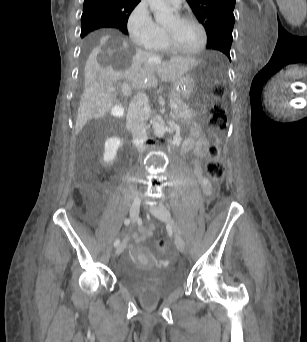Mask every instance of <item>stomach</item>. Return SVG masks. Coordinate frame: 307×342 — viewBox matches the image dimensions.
Segmentation results:
<instances>
[{"label": "stomach", "mask_w": 307, "mask_h": 342, "mask_svg": "<svg viewBox=\"0 0 307 342\" xmlns=\"http://www.w3.org/2000/svg\"><path fill=\"white\" fill-rule=\"evenodd\" d=\"M199 67L194 66L173 82V93L182 100L191 101L195 95Z\"/></svg>", "instance_id": "0dacf381"}]
</instances>
